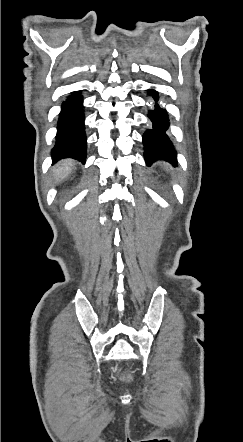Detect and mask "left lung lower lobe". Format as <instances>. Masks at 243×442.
<instances>
[{
  "label": "left lung lower lobe",
  "mask_w": 243,
  "mask_h": 442,
  "mask_svg": "<svg viewBox=\"0 0 243 442\" xmlns=\"http://www.w3.org/2000/svg\"><path fill=\"white\" fill-rule=\"evenodd\" d=\"M148 92L156 104L155 109L150 110L148 114L153 125L143 135L144 158L147 164L156 160H166L175 165L177 162L176 151L166 134L170 125L167 112L158 105L159 96L157 92L151 89Z\"/></svg>",
  "instance_id": "1"
}]
</instances>
